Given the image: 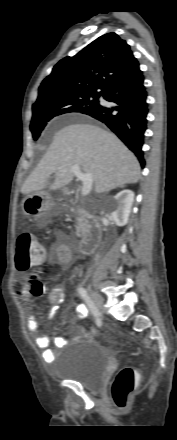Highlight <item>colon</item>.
Masks as SVG:
<instances>
[{"instance_id": "5ec220e1", "label": "colon", "mask_w": 177, "mask_h": 440, "mask_svg": "<svg viewBox=\"0 0 177 440\" xmlns=\"http://www.w3.org/2000/svg\"><path fill=\"white\" fill-rule=\"evenodd\" d=\"M46 258V251L42 245L36 242L31 233H24L19 236L16 244V268L24 272L33 267L40 266ZM32 291L35 294L43 292V285L33 281ZM137 383L136 372L131 366L123 367L116 375L112 387L111 396L114 403L123 408L128 403L129 395Z\"/></svg>"}]
</instances>
